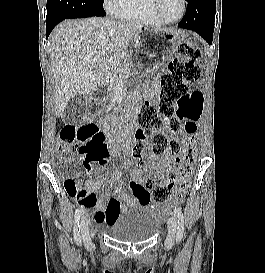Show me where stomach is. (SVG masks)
<instances>
[{
  "label": "stomach",
  "mask_w": 265,
  "mask_h": 273,
  "mask_svg": "<svg viewBox=\"0 0 265 273\" xmlns=\"http://www.w3.org/2000/svg\"><path fill=\"white\" fill-rule=\"evenodd\" d=\"M175 35H179V30L143 28L134 37L127 54L128 58L136 60L129 78H158V73H164L170 64L167 58L172 55Z\"/></svg>",
  "instance_id": "1"
}]
</instances>
